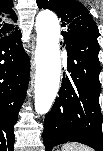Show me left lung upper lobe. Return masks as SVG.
<instances>
[{"label": "left lung upper lobe", "mask_w": 103, "mask_h": 151, "mask_svg": "<svg viewBox=\"0 0 103 151\" xmlns=\"http://www.w3.org/2000/svg\"><path fill=\"white\" fill-rule=\"evenodd\" d=\"M39 8L54 11L61 18L65 33L96 38L100 35L98 27L85 6L76 0H37Z\"/></svg>", "instance_id": "5c2ea615"}]
</instances>
